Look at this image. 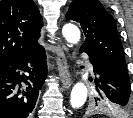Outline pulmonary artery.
Returning <instances> with one entry per match:
<instances>
[{
  "label": "pulmonary artery",
  "mask_w": 133,
  "mask_h": 118,
  "mask_svg": "<svg viewBox=\"0 0 133 118\" xmlns=\"http://www.w3.org/2000/svg\"><path fill=\"white\" fill-rule=\"evenodd\" d=\"M89 66H90L91 69H93V66L91 64Z\"/></svg>",
  "instance_id": "1"
}]
</instances>
